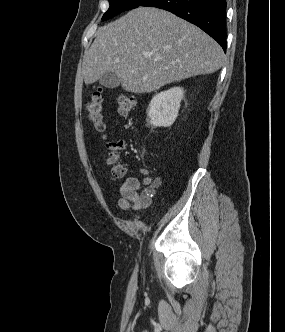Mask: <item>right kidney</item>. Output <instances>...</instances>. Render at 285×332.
<instances>
[{
	"mask_svg": "<svg viewBox=\"0 0 285 332\" xmlns=\"http://www.w3.org/2000/svg\"><path fill=\"white\" fill-rule=\"evenodd\" d=\"M183 95L184 90L180 87L156 94L148 107L150 124L154 127H170L178 116Z\"/></svg>",
	"mask_w": 285,
	"mask_h": 332,
	"instance_id": "ca27d5eb",
	"label": "right kidney"
}]
</instances>
